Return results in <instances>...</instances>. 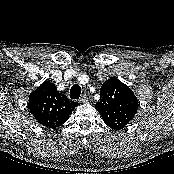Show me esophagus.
<instances>
[{"instance_id": "esophagus-1", "label": "esophagus", "mask_w": 174, "mask_h": 174, "mask_svg": "<svg viewBox=\"0 0 174 174\" xmlns=\"http://www.w3.org/2000/svg\"><path fill=\"white\" fill-rule=\"evenodd\" d=\"M87 99H88V98H87V95L84 94V95H82L81 98L79 99V102H80V103L86 102Z\"/></svg>"}]
</instances>
